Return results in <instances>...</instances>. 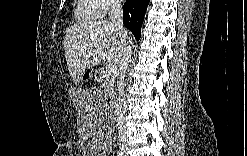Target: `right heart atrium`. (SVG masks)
Segmentation results:
<instances>
[{
	"instance_id": "1",
	"label": "right heart atrium",
	"mask_w": 247,
	"mask_h": 156,
	"mask_svg": "<svg viewBox=\"0 0 247 156\" xmlns=\"http://www.w3.org/2000/svg\"><path fill=\"white\" fill-rule=\"evenodd\" d=\"M98 3L100 5V12L102 15L108 13L109 11H111L119 5L118 1L116 0H102L98 1Z\"/></svg>"
}]
</instances>
